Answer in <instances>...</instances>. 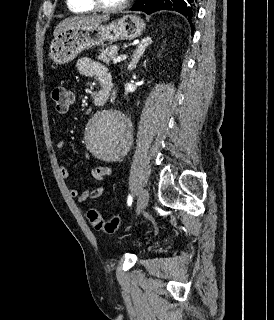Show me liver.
<instances>
[{
  "instance_id": "obj_1",
  "label": "liver",
  "mask_w": 274,
  "mask_h": 320,
  "mask_svg": "<svg viewBox=\"0 0 274 320\" xmlns=\"http://www.w3.org/2000/svg\"><path fill=\"white\" fill-rule=\"evenodd\" d=\"M109 16H97V14H92V16H73V18H66L63 22H60L54 30L53 36L60 34L62 30H67V28H76V26H93V24H102V22H107Z\"/></svg>"
}]
</instances>
